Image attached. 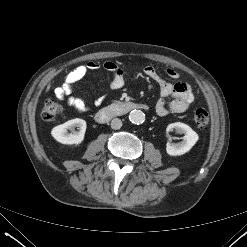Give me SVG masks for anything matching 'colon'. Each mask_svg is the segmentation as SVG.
<instances>
[{"instance_id": "colon-1", "label": "colon", "mask_w": 247, "mask_h": 247, "mask_svg": "<svg viewBox=\"0 0 247 247\" xmlns=\"http://www.w3.org/2000/svg\"><path fill=\"white\" fill-rule=\"evenodd\" d=\"M62 111L61 106L53 99H47L42 109V118L45 121L54 120ZM193 121L197 129L205 130L209 124V114L203 108L194 111Z\"/></svg>"}]
</instances>
